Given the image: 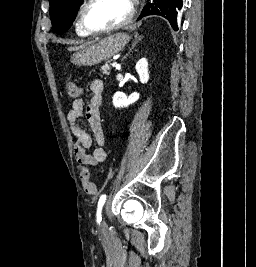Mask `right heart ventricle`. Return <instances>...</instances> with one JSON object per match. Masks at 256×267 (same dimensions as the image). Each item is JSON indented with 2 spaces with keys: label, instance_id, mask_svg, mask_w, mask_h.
Masks as SVG:
<instances>
[{
  "label": "right heart ventricle",
  "instance_id": "e07e8e85",
  "mask_svg": "<svg viewBox=\"0 0 256 267\" xmlns=\"http://www.w3.org/2000/svg\"><path fill=\"white\" fill-rule=\"evenodd\" d=\"M75 34L77 36H93V34L87 33L82 25H81V21H80V17H78V19L76 20L75 23Z\"/></svg>",
  "mask_w": 256,
  "mask_h": 267
}]
</instances>
